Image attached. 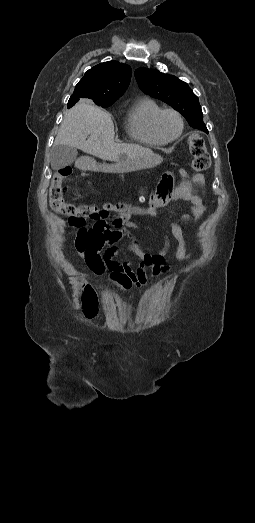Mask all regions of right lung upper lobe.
Listing matches in <instances>:
<instances>
[{"instance_id":"obj_1","label":"right lung upper lobe","mask_w":255,"mask_h":523,"mask_svg":"<svg viewBox=\"0 0 255 523\" xmlns=\"http://www.w3.org/2000/svg\"><path fill=\"white\" fill-rule=\"evenodd\" d=\"M132 70L129 65L117 61H108L88 70L76 85L71 95L68 108L79 100L83 102H114L121 97L129 86Z\"/></svg>"}]
</instances>
